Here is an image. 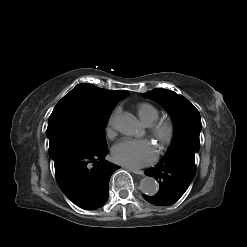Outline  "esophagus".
Wrapping results in <instances>:
<instances>
[{
	"mask_svg": "<svg viewBox=\"0 0 247 247\" xmlns=\"http://www.w3.org/2000/svg\"><path fill=\"white\" fill-rule=\"evenodd\" d=\"M128 170L138 175H144V172L142 170L133 169V168H128Z\"/></svg>",
	"mask_w": 247,
	"mask_h": 247,
	"instance_id": "1",
	"label": "esophagus"
}]
</instances>
